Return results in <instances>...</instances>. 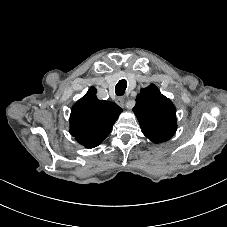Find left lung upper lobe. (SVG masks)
I'll use <instances>...</instances> for the list:
<instances>
[{"label": "left lung upper lobe", "mask_w": 227, "mask_h": 227, "mask_svg": "<svg viewBox=\"0 0 227 227\" xmlns=\"http://www.w3.org/2000/svg\"><path fill=\"white\" fill-rule=\"evenodd\" d=\"M143 134L157 143L169 140L176 132V109L172 102L151 84L137 95L133 108Z\"/></svg>", "instance_id": "1"}]
</instances>
